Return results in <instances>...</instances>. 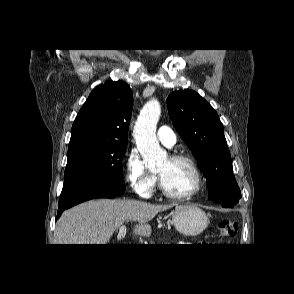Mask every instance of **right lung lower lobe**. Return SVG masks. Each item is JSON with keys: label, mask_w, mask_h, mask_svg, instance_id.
<instances>
[{"label": "right lung lower lobe", "mask_w": 294, "mask_h": 294, "mask_svg": "<svg viewBox=\"0 0 294 294\" xmlns=\"http://www.w3.org/2000/svg\"><path fill=\"white\" fill-rule=\"evenodd\" d=\"M124 191V185L110 183H87L62 191L58 203L57 218L61 216L63 211L79 203L95 198H114Z\"/></svg>", "instance_id": "1"}]
</instances>
